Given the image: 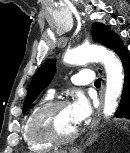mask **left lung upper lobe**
Masks as SVG:
<instances>
[{
    "instance_id": "1",
    "label": "left lung upper lobe",
    "mask_w": 130,
    "mask_h": 153,
    "mask_svg": "<svg viewBox=\"0 0 130 153\" xmlns=\"http://www.w3.org/2000/svg\"><path fill=\"white\" fill-rule=\"evenodd\" d=\"M92 37L93 40L105 45L108 39L115 34L110 31L108 26H104L100 23H94L92 25ZM55 73V60H49L47 63L42 65L34 75L28 94L25 98L23 105V112H25L31 103L37 98L40 92L50 83Z\"/></svg>"
}]
</instances>
